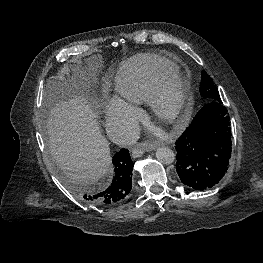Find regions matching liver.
<instances>
[{
  "mask_svg": "<svg viewBox=\"0 0 263 263\" xmlns=\"http://www.w3.org/2000/svg\"><path fill=\"white\" fill-rule=\"evenodd\" d=\"M45 94L53 98L46 125L53 159L73 182L94 183L111 163L109 142L95 113L85 97L66 82H49Z\"/></svg>",
  "mask_w": 263,
  "mask_h": 263,
  "instance_id": "6515ba94",
  "label": "liver"
}]
</instances>
